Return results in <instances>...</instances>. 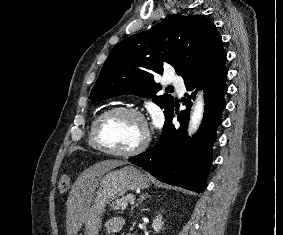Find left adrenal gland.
Segmentation results:
<instances>
[{"mask_svg":"<svg viewBox=\"0 0 283 235\" xmlns=\"http://www.w3.org/2000/svg\"><path fill=\"white\" fill-rule=\"evenodd\" d=\"M149 197H150V196H149L148 193L141 194V195L139 196V198H138V202H137L134 206H132L131 211L133 212V209H134L136 206H138V204H141V203L143 202V200H145L146 198H149Z\"/></svg>","mask_w":283,"mask_h":235,"instance_id":"1","label":"left adrenal gland"}]
</instances>
